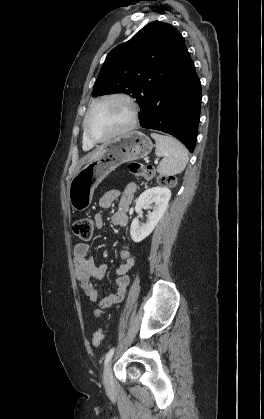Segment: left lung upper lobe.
<instances>
[{"label":"left lung upper lobe","mask_w":264,"mask_h":419,"mask_svg":"<svg viewBox=\"0 0 264 419\" xmlns=\"http://www.w3.org/2000/svg\"><path fill=\"white\" fill-rule=\"evenodd\" d=\"M182 35L172 25L154 21L106 57L93 88V96L110 93L131 95L140 108L151 86L173 70Z\"/></svg>","instance_id":"5c2ea615"}]
</instances>
